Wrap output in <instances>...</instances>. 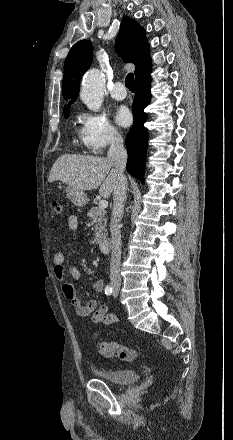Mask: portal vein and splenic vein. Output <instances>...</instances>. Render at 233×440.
<instances>
[{
	"instance_id": "portal-vein-and-splenic-vein-1",
	"label": "portal vein and splenic vein",
	"mask_w": 233,
	"mask_h": 440,
	"mask_svg": "<svg viewBox=\"0 0 233 440\" xmlns=\"http://www.w3.org/2000/svg\"><path fill=\"white\" fill-rule=\"evenodd\" d=\"M99 208H102V209H105V208H107V206H108V202H107V200H101L100 202H99Z\"/></svg>"
}]
</instances>
